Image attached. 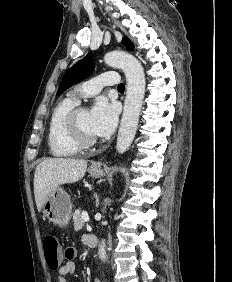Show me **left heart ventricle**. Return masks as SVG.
<instances>
[{"instance_id": "b2bd125f", "label": "left heart ventricle", "mask_w": 232, "mask_h": 282, "mask_svg": "<svg viewBox=\"0 0 232 282\" xmlns=\"http://www.w3.org/2000/svg\"><path fill=\"white\" fill-rule=\"evenodd\" d=\"M78 123L82 132L90 138H95V134L92 132L90 125V112L88 110H82L78 115Z\"/></svg>"}]
</instances>
